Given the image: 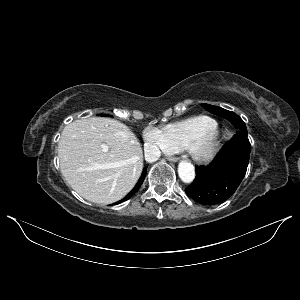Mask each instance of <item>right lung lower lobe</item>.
<instances>
[{
  "instance_id": "98d812e1",
  "label": "right lung lower lobe",
  "mask_w": 300,
  "mask_h": 300,
  "mask_svg": "<svg viewBox=\"0 0 300 300\" xmlns=\"http://www.w3.org/2000/svg\"><path fill=\"white\" fill-rule=\"evenodd\" d=\"M146 172H147V168L145 167V168L143 169V172H142V175H141L139 181L137 182V184H139V188L141 187V185H142V183H143V181H144V179H145ZM137 184H136V185H137ZM136 185H135V186H136ZM132 191H134V188H133ZM132 191H131L125 198H123L122 200H120V201L117 202V203L123 202V201L129 199L130 197H132V196H133V195L131 194ZM117 203H115V204H117Z\"/></svg>"
}]
</instances>
